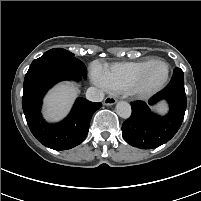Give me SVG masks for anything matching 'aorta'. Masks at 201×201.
Returning <instances> with one entry per match:
<instances>
[{"label":"aorta","instance_id":"aorta-1","mask_svg":"<svg viewBox=\"0 0 201 201\" xmlns=\"http://www.w3.org/2000/svg\"><path fill=\"white\" fill-rule=\"evenodd\" d=\"M116 112L121 118L127 119L131 115V106L125 101H120L116 104Z\"/></svg>","mask_w":201,"mask_h":201}]
</instances>
